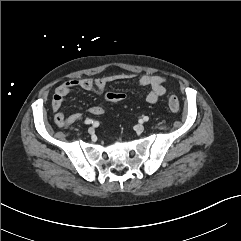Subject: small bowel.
Returning a JSON list of instances; mask_svg holds the SVG:
<instances>
[{
  "label": "small bowel",
  "mask_w": 241,
  "mask_h": 241,
  "mask_svg": "<svg viewBox=\"0 0 241 241\" xmlns=\"http://www.w3.org/2000/svg\"><path fill=\"white\" fill-rule=\"evenodd\" d=\"M136 76L137 75L133 73H115L110 75H103L95 79L91 77L74 78L62 83L56 88L51 103L52 110L55 113L54 121L56 125H58L59 127H64L73 124L81 119V114L78 112H72L68 115H65L61 112V107L65 97L74 88H81L85 91L101 94L109 83L114 81L132 79ZM165 82L166 79L164 77L150 74H144L140 76L138 80L140 86L149 88V92L146 96V101L150 104H155L160 97L165 95ZM105 102L110 101L104 100V102L92 106L89 109L90 113L95 116L103 114Z\"/></svg>",
  "instance_id": "c3829d8e"
}]
</instances>
